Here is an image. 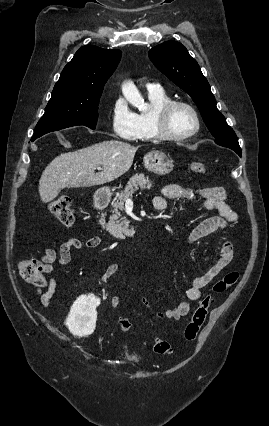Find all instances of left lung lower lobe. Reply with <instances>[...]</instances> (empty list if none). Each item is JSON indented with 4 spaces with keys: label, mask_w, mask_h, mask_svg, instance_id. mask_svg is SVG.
Returning a JSON list of instances; mask_svg holds the SVG:
<instances>
[{
    "label": "left lung lower lobe",
    "mask_w": 269,
    "mask_h": 426,
    "mask_svg": "<svg viewBox=\"0 0 269 426\" xmlns=\"http://www.w3.org/2000/svg\"><path fill=\"white\" fill-rule=\"evenodd\" d=\"M239 156H241L242 155V153H241V149H236V150H234Z\"/></svg>",
    "instance_id": "1"
}]
</instances>
